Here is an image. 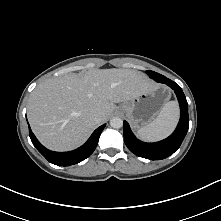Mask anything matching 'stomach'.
I'll list each match as a JSON object with an SVG mask.
<instances>
[{"label":"stomach","instance_id":"stomach-1","mask_svg":"<svg viewBox=\"0 0 221 221\" xmlns=\"http://www.w3.org/2000/svg\"><path fill=\"white\" fill-rule=\"evenodd\" d=\"M169 99L170 91L164 86H156L150 91L123 102L119 111L127 117L134 129H139L152 122Z\"/></svg>","mask_w":221,"mask_h":221}]
</instances>
